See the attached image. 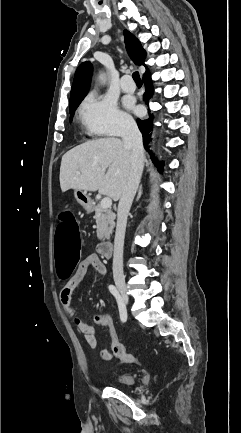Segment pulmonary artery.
<instances>
[{"mask_svg":"<svg viewBox=\"0 0 241 433\" xmlns=\"http://www.w3.org/2000/svg\"><path fill=\"white\" fill-rule=\"evenodd\" d=\"M121 88L124 92H133L135 91V84L130 80L128 75H124L120 82Z\"/></svg>","mask_w":241,"mask_h":433,"instance_id":"1","label":"pulmonary artery"}]
</instances>
